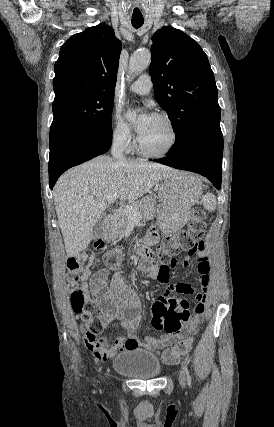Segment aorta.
Here are the masks:
<instances>
[{
  "instance_id": "aorta-1",
  "label": "aorta",
  "mask_w": 274,
  "mask_h": 427,
  "mask_svg": "<svg viewBox=\"0 0 274 427\" xmlns=\"http://www.w3.org/2000/svg\"><path fill=\"white\" fill-rule=\"evenodd\" d=\"M151 63V53L149 50L136 51L130 57L129 73L138 74L146 69Z\"/></svg>"
}]
</instances>
